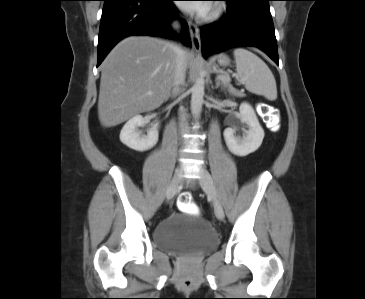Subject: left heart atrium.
Here are the masks:
<instances>
[{
  "mask_svg": "<svg viewBox=\"0 0 365 299\" xmlns=\"http://www.w3.org/2000/svg\"><path fill=\"white\" fill-rule=\"evenodd\" d=\"M193 2H205V1H193ZM182 7L191 12L203 13L207 9L206 3H188L182 4Z\"/></svg>",
  "mask_w": 365,
  "mask_h": 299,
  "instance_id": "39dd6f15",
  "label": "left heart atrium"
}]
</instances>
